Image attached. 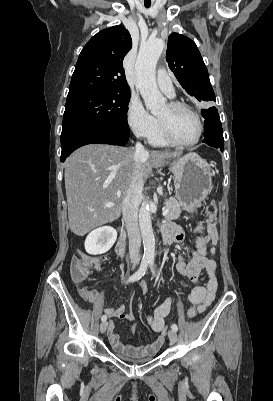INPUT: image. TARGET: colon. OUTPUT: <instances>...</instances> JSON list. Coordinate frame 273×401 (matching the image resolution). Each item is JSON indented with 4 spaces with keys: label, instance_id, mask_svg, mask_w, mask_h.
I'll return each instance as SVG.
<instances>
[{
    "label": "colon",
    "instance_id": "obj_1",
    "mask_svg": "<svg viewBox=\"0 0 273 401\" xmlns=\"http://www.w3.org/2000/svg\"><path fill=\"white\" fill-rule=\"evenodd\" d=\"M93 267V262L87 261L85 257H72L71 261L68 262V269L71 270L74 282H87L88 276H93L95 274V269ZM188 279L189 281L194 282L196 281L197 276L196 274L191 273L189 274ZM139 287V296L144 298L151 289V284L146 282ZM76 291H80L81 297H90L92 285L82 284L76 286Z\"/></svg>",
    "mask_w": 273,
    "mask_h": 401
}]
</instances>
